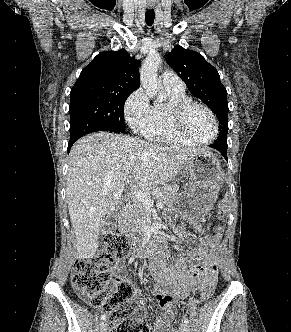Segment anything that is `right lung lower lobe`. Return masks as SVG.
Wrapping results in <instances>:
<instances>
[{
    "label": "right lung lower lobe",
    "instance_id": "right-lung-lower-lobe-1",
    "mask_svg": "<svg viewBox=\"0 0 291 332\" xmlns=\"http://www.w3.org/2000/svg\"><path fill=\"white\" fill-rule=\"evenodd\" d=\"M101 131L99 123L90 117H80L74 122H70V141L68 144V152L74 142L81 136L91 133Z\"/></svg>",
    "mask_w": 291,
    "mask_h": 332
}]
</instances>
